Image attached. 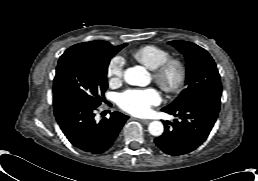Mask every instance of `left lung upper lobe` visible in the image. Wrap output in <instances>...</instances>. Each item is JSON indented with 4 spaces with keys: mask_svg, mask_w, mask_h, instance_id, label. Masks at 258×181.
Masks as SVG:
<instances>
[{
    "mask_svg": "<svg viewBox=\"0 0 258 181\" xmlns=\"http://www.w3.org/2000/svg\"><path fill=\"white\" fill-rule=\"evenodd\" d=\"M168 44L177 48L187 59V88L164 108L177 109L204 99L220 100L222 93L220 75L210 54L188 41L175 40Z\"/></svg>",
    "mask_w": 258,
    "mask_h": 181,
    "instance_id": "obj_1",
    "label": "left lung upper lobe"
}]
</instances>
